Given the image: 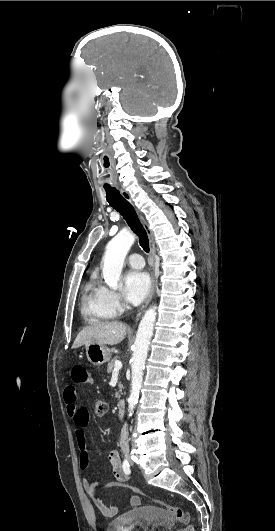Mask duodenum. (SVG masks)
Wrapping results in <instances>:
<instances>
[{"instance_id":"410a0bca","label":"duodenum","mask_w":275,"mask_h":531,"mask_svg":"<svg viewBox=\"0 0 275 531\" xmlns=\"http://www.w3.org/2000/svg\"><path fill=\"white\" fill-rule=\"evenodd\" d=\"M116 410L119 417L124 416L126 410V401L124 399L118 401Z\"/></svg>"}]
</instances>
